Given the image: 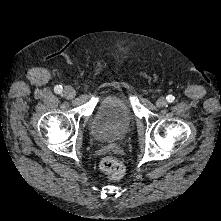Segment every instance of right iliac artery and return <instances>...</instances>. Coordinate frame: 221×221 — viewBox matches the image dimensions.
I'll return each mask as SVG.
<instances>
[{
	"label": "right iliac artery",
	"instance_id": "obj_1",
	"mask_svg": "<svg viewBox=\"0 0 221 221\" xmlns=\"http://www.w3.org/2000/svg\"><path fill=\"white\" fill-rule=\"evenodd\" d=\"M62 90H63V88H62L61 85H57V86H55V88H54V91H55L57 94L62 93Z\"/></svg>",
	"mask_w": 221,
	"mask_h": 221
}]
</instances>
